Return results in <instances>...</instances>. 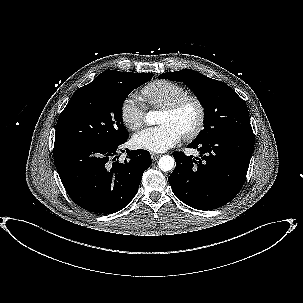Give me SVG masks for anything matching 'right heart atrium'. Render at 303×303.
<instances>
[{
	"mask_svg": "<svg viewBox=\"0 0 303 303\" xmlns=\"http://www.w3.org/2000/svg\"><path fill=\"white\" fill-rule=\"evenodd\" d=\"M120 117L124 125L132 131L144 125L146 106L135 93H130L123 99L120 105Z\"/></svg>",
	"mask_w": 303,
	"mask_h": 303,
	"instance_id": "1",
	"label": "right heart atrium"
}]
</instances>
